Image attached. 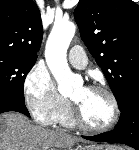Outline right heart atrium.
Segmentation results:
<instances>
[{
  "label": "right heart atrium",
  "instance_id": "right-heart-atrium-1",
  "mask_svg": "<svg viewBox=\"0 0 139 150\" xmlns=\"http://www.w3.org/2000/svg\"><path fill=\"white\" fill-rule=\"evenodd\" d=\"M25 104L34 120L43 126L57 123L70 106L59 94L49 73L41 66H34L23 85Z\"/></svg>",
  "mask_w": 139,
  "mask_h": 150
}]
</instances>
